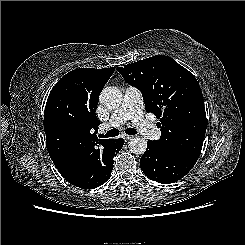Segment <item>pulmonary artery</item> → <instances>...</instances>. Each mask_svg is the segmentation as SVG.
Returning a JSON list of instances; mask_svg holds the SVG:
<instances>
[{
	"label": "pulmonary artery",
	"mask_w": 245,
	"mask_h": 245,
	"mask_svg": "<svg viewBox=\"0 0 245 245\" xmlns=\"http://www.w3.org/2000/svg\"><path fill=\"white\" fill-rule=\"evenodd\" d=\"M127 120H132L140 134L147 139H158L160 131L143 114V96L135 87H127L120 107L114 111L108 123L102 125V130L117 127Z\"/></svg>",
	"instance_id": "e3ab8cb5"
}]
</instances>
